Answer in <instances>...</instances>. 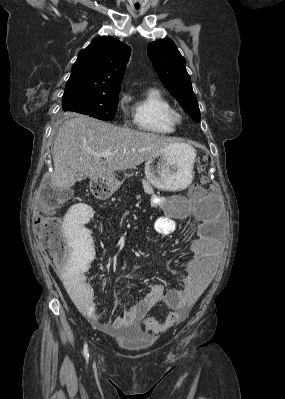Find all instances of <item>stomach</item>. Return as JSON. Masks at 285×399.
Masks as SVG:
<instances>
[{
  "label": "stomach",
  "mask_w": 285,
  "mask_h": 399,
  "mask_svg": "<svg viewBox=\"0 0 285 399\" xmlns=\"http://www.w3.org/2000/svg\"><path fill=\"white\" fill-rule=\"evenodd\" d=\"M195 150L188 144H176L164 149L145 163L146 179L156 188L176 191L187 187L193 179ZM115 175L91 179L92 194L106 200L120 187Z\"/></svg>",
  "instance_id": "stomach-1"
}]
</instances>
